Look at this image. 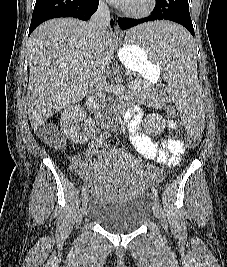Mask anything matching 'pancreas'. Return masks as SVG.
I'll return each instance as SVG.
<instances>
[{"instance_id":"pancreas-1","label":"pancreas","mask_w":227,"mask_h":267,"mask_svg":"<svg viewBox=\"0 0 227 267\" xmlns=\"http://www.w3.org/2000/svg\"><path fill=\"white\" fill-rule=\"evenodd\" d=\"M129 87L131 90L137 92V93H143L146 91H150L152 86L146 82V81H142V79L137 78L135 80H131V82L129 83Z\"/></svg>"}]
</instances>
